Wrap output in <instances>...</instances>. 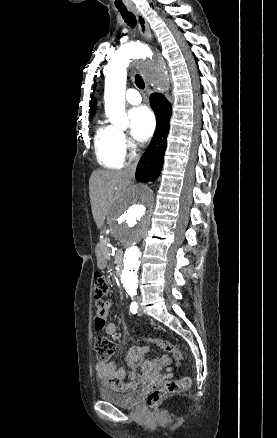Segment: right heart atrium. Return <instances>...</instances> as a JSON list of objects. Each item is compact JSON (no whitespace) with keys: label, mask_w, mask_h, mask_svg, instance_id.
I'll use <instances>...</instances> for the list:
<instances>
[{"label":"right heart atrium","mask_w":277,"mask_h":438,"mask_svg":"<svg viewBox=\"0 0 277 438\" xmlns=\"http://www.w3.org/2000/svg\"><path fill=\"white\" fill-rule=\"evenodd\" d=\"M119 145L124 156L128 154V150L133 151L135 148V144L124 132L119 134Z\"/></svg>","instance_id":"obj_1"}]
</instances>
